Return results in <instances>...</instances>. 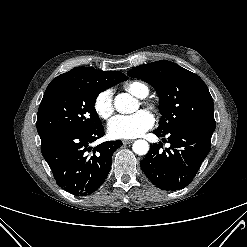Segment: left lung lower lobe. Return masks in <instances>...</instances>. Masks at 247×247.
I'll return each instance as SVG.
<instances>
[{
  "mask_svg": "<svg viewBox=\"0 0 247 247\" xmlns=\"http://www.w3.org/2000/svg\"><path fill=\"white\" fill-rule=\"evenodd\" d=\"M153 133L158 137L167 135L170 147L161 150L162 144L154 143L140 162L142 171L162 190L185 188L208 155L212 134L187 126L176 127L168 132L154 130Z\"/></svg>",
  "mask_w": 247,
  "mask_h": 247,
  "instance_id": "left-lung-lower-lobe-1",
  "label": "left lung lower lobe"
}]
</instances>
